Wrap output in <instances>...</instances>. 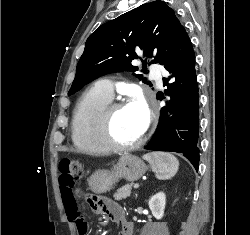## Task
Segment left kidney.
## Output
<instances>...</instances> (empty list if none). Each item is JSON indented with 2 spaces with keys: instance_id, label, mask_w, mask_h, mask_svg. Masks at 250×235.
<instances>
[{
  "instance_id": "1",
  "label": "left kidney",
  "mask_w": 250,
  "mask_h": 235,
  "mask_svg": "<svg viewBox=\"0 0 250 235\" xmlns=\"http://www.w3.org/2000/svg\"><path fill=\"white\" fill-rule=\"evenodd\" d=\"M149 208L152 212V215L160 220L164 215V209L166 205V196L163 192H159L151 197L149 200Z\"/></svg>"
}]
</instances>
